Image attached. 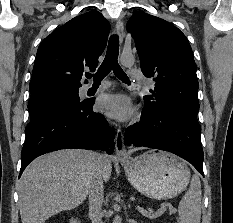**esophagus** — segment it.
<instances>
[{"label":"esophagus","mask_w":233,"mask_h":223,"mask_svg":"<svg viewBox=\"0 0 233 223\" xmlns=\"http://www.w3.org/2000/svg\"><path fill=\"white\" fill-rule=\"evenodd\" d=\"M116 33L118 35L120 43L124 39V23L121 19L116 22ZM116 156L119 159H125L129 157V154L124 146L123 133L121 129H117L115 138Z\"/></svg>","instance_id":"34e87169"}]
</instances>
